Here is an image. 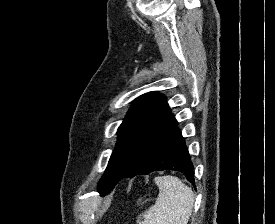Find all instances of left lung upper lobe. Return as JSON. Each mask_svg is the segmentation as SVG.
I'll list each match as a JSON object with an SVG mask.
<instances>
[{
	"mask_svg": "<svg viewBox=\"0 0 275 224\" xmlns=\"http://www.w3.org/2000/svg\"><path fill=\"white\" fill-rule=\"evenodd\" d=\"M135 102L118 128L115 150L99 184L110 177H122L149 136L171 113L165 97L157 92L146 93Z\"/></svg>",
	"mask_w": 275,
	"mask_h": 224,
	"instance_id": "1",
	"label": "left lung upper lobe"
}]
</instances>
